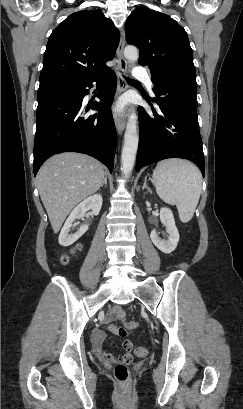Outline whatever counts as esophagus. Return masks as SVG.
<instances>
[{
	"instance_id": "esophagus-1",
	"label": "esophagus",
	"mask_w": 243,
	"mask_h": 409,
	"mask_svg": "<svg viewBox=\"0 0 243 409\" xmlns=\"http://www.w3.org/2000/svg\"><path fill=\"white\" fill-rule=\"evenodd\" d=\"M125 46V32L124 29L122 28L121 30V36H120V42L117 48V59H118V65H119V72L117 74L118 81H117V92H116V97H118L124 90L127 89V82L124 78L123 75L126 74L127 72V61L123 55V50ZM114 123L115 127L117 129V132L119 134L123 133V130L126 125L125 117L123 114L115 113L114 114Z\"/></svg>"
}]
</instances>
